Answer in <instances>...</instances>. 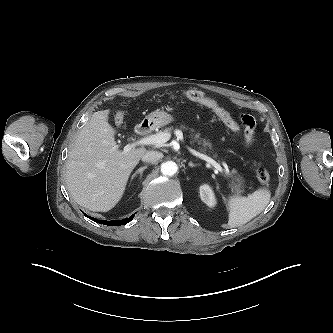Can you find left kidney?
Segmentation results:
<instances>
[{
  "label": "left kidney",
  "mask_w": 333,
  "mask_h": 333,
  "mask_svg": "<svg viewBox=\"0 0 333 333\" xmlns=\"http://www.w3.org/2000/svg\"><path fill=\"white\" fill-rule=\"evenodd\" d=\"M201 200L209 207H214L216 205V198L211 189L207 184L201 185L199 188Z\"/></svg>",
  "instance_id": "obj_1"
}]
</instances>
